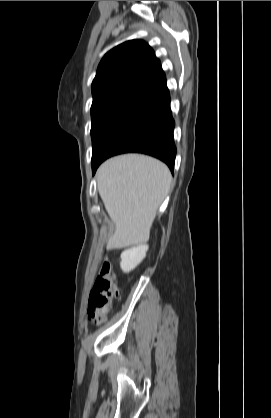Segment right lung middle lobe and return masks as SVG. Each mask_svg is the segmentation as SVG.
<instances>
[{
	"label": "right lung middle lobe",
	"instance_id": "right-lung-middle-lobe-1",
	"mask_svg": "<svg viewBox=\"0 0 271 418\" xmlns=\"http://www.w3.org/2000/svg\"><path fill=\"white\" fill-rule=\"evenodd\" d=\"M153 104L136 98H115L91 106L92 162L107 143Z\"/></svg>",
	"mask_w": 271,
	"mask_h": 418
}]
</instances>
